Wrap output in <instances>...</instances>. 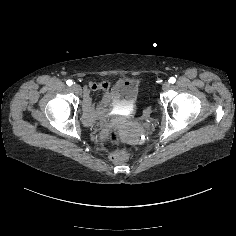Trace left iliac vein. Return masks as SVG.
Segmentation results:
<instances>
[{
    "instance_id": "left-iliac-vein-1",
    "label": "left iliac vein",
    "mask_w": 236,
    "mask_h": 236,
    "mask_svg": "<svg viewBox=\"0 0 236 236\" xmlns=\"http://www.w3.org/2000/svg\"><path fill=\"white\" fill-rule=\"evenodd\" d=\"M170 87H171V84H170L169 82H164V83L162 84V88H163L164 91L169 90Z\"/></svg>"
}]
</instances>
